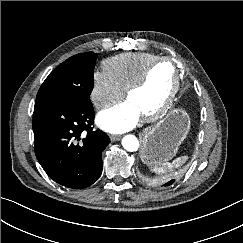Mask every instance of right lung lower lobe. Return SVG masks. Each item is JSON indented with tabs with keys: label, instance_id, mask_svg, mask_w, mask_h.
<instances>
[{
	"label": "right lung lower lobe",
	"instance_id": "98d812e1",
	"mask_svg": "<svg viewBox=\"0 0 243 243\" xmlns=\"http://www.w3.org/2000/svg\"><path fill=\"white\" fill-rule=\"evenodd\" d=\"M92 104L72 107L50 100H36L32 127L35 154L47 175L72 189L86 188L102 173L101 154L110 138L93 130Z\"/></svg>",
	"mask_w": 243,
	"mask_h": 243
}]
</instances>
